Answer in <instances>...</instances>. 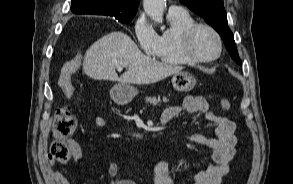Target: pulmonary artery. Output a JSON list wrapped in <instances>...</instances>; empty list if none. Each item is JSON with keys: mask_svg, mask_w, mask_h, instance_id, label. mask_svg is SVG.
I'll list each match as a JSON object with an SVG mask.
<instances>
[{"mask_svg": "<svg viewBox=\"0 0 293 184\" xmlns=\"http://www.w3.org/2000/svg\"><path fill=\"white\" fill-rule=\"evenodd\" d=\"M182 12H185V10L181 6H178V5H171L168 9V13L170 14L182 13Z\"/></svg>", "mask_w": 293, "mask_h": 184, "instance_id": "obj_1", "label": "pulmonary artery"}]
</instances>
